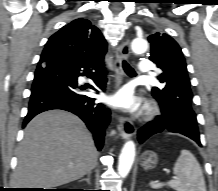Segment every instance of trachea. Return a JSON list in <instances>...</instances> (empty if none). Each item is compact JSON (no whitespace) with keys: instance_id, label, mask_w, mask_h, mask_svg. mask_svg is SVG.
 <instances>
[{"instance_id":"1","label":"trachea","mask_w":218,"mask_h":191,"mask_svg":"<svg viewBox=\"0 0 218 191\" xmlns=\"http://www.w3.org/2000/svg\"><path fill=\"white\" fill-rule=\"evenodd\" d=\"M122 66H123L124 71L128 75H131V76H135L136 75L134 69L126 61L123 60Z\"/></svg>"}]
</instances>
